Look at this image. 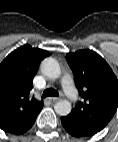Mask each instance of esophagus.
Listing matches in <instances>:
<instances>
[{
  "label": "esophagus",
  "instance_id": "34e87169",
  "mask_svg": "<svg viewBox=\"0 0 118 142\" xmlns=\"http://www.w3.org/2000/svg\"><path fill=\"white\" fill-rule=\"evenodd\" d=\"M60 100V98H58V97H52V98H49V101L50 102H57V101H59Z\"/></svg>",
  "mask_w": 118,
  "mask_h": 142
}]
</instances>
